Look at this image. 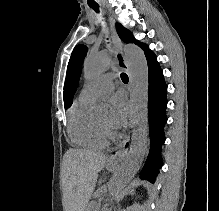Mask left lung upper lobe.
<instances>
[{"label": "left lung upper lobe", "instance_id": "left-lung-upper-lobe-1", "mask_svg": "<svg viewBox=\"0 0 219 211\" xmlns=\"http://www.w3.org/2000/svg\"><path fill=\"white\" fill-rule=\"evenodd\" d=\"M117 32L121 38L122 41L125 43H135L139 45L144 51L145 55L152 52L150 49H147V46L145 44H141L140 42L136 41L129 30L124 28L121 24H116ZM87 47L84 45H77L71 54L68 67H67V76H66V82H65V90L68 92V99L69 103L68 106H70L73 102V96L76 91L78 80L81 73L82 63L84 60V57L86 56Z\"/></svg>", "mask_w": 219, "mask_h": 211}]
</instances>
